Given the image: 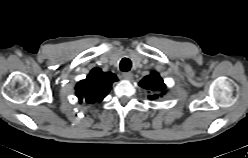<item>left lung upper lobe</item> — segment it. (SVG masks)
<instances>
[{"mask_svg": "<svg viewBox=\"0 0 248 158\" xmlns=\"http://www.w3.org/2000/svg\"><path fill=\"white\" fill-rule=\"evenodd\" d=\"M139 85L144 88L151 90L155 92L153 95H149V99H157L158 98V92L163 91L166 86L162 80V78L159 76L157 72H152L150 75L143 78V80L139 83Z\"/></svg>", "mask_w": 248, "mask_h": 158, "instance_id": "5c2ea615", "label": "left lung upper lobe"}]
</instances>
